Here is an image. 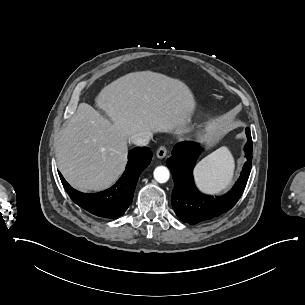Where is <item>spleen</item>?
I'll use <instances>...</instances> for the list:
<instances>
[{
	"instance_id": "1",
	"label": "spleen",
	"mask_w": 305,
	"mask_h": 305,
	"mask_svg": "<svg viewBox=\"0 0 305 305\" xmlns=\"http://www.w3.org/2000/svg\"><path fill=\"white\" fill-rule=\"evenodd\" d=\"M232 172V157L225 148H220L199 162L195 175L199 186L212 193L228 187Z\"/></svg>"
}]
</instances>
